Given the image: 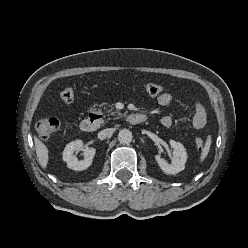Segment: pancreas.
<instances>
[{
	"mask_svg": "<svg viewBox=\"0 0 248 248\" xmlns=\"http://www.w3.org/2000/svg\"><path fill=\"white\" fill-rule=\"evenodd\" d=\"M110 111H111V110H110ZM110 111H109V112H110ZM110 114H111V115H120L121 113H120L119 111H115V112H111Z\"/></svg>",
	"mask_w": 248,
	"mask_h": 248,
	"instance_id": "pancreas-1",
	"label": "pancreas"
}]
</instances>
